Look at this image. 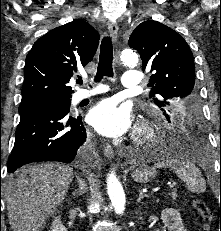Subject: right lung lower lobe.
<instances>
[{
	"label": "right lung lower lobe",
	"instance_id": "1",
	"mask_svg": "<svg viewBox=\"0 0 221 231\" xmlns=\"http://www.w3.org/2000/svg\"><path fill=\"white\" fill-rule=\"evenodd\" d=\"M70 104H45L20 113L15 144L7 171L40 161L69 163L86 141V130L79 116L69 113Z\"/></svg>",
	"mask_w": 221,
	"mask_h": 231
}]
</instances>
